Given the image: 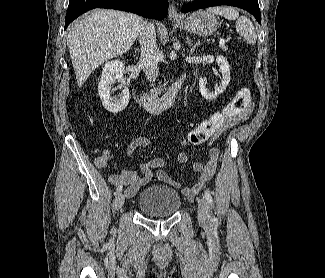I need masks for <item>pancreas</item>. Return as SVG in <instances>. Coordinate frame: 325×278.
Here are the masks:
<instances>
[{"label":"pancreas","mask_w":325,"mask_h":278,"mask_svg":"<svg viewBox=\"0 0 325 278\" xmlns=\"http://www.w3.org/2000/svg\"><path fill=\"white\" fill-rule=\"evenodd\" d=\"M220 48L223 50V51H227V47L225 45H220ZM162 89V86H160L159 88H154L153 90H151L152 93H160Z\"/></svg>","instance_id":"cf45deb5"}]
</instances>
